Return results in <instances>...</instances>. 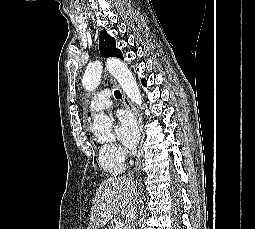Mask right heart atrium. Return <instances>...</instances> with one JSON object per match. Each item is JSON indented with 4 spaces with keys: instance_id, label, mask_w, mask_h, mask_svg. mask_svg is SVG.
Instances as JSON below:
<instances>
[{
    "instance_id": "right-heart-atrium-1",
    "label": "right heart atrium",
    "mask_w": 255,
    "mask_h": 229,
    "mask_svg": "<svg viewBox=\"0 0 255 229\" xmlns=\"http://www.w3.org/2000/svg\"><path fill=\"white\" fill-rule=\"evenodd\" d=\"M107 150L110 157L118 162H124L126 158V151L119 145L111 144L107 145Z\"/></svg>"
}]
</instances>
